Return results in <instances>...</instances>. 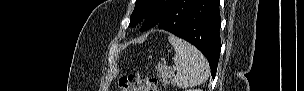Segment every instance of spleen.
Segmentation results:
<instances>
[{"label":"spleen","mask_w":304,"mask_h":91,"mask_svg":"<svg viewBox=\"0 0 304 91\" xmlns=\"http://www.w3.org/2000/svg\"><path fill=\"white\" fill-rule=\"evenodd\" d=\"M168 41L176 52L174 56L176 74L172 75L171 82L180 88L204 83L209 77V64L203 54L176 36L170 35Z\"/></svg>","instance_id":"spleen-1"}]
</instances>
